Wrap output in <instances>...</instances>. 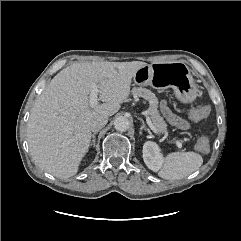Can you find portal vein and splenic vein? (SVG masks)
Instances as JSON below:
<instances>
[{
    "label": "portal vein and splenic vein",
    "mask_w": 241,
    "mask_h": 241,
    "mask_svg": "<svg viewBox=\"0 0 241 241\" xmlns=\"http://www.w3.org/2000/svg\"><path fill=\"white\" fill-rule=\"evenodd\" d=\"M99 89L98 86L96 84H92L91 85V89H90V95H89V104L91 107H94L97 105L98 103V93H99ZM146 122L149 125V127L151 128V130L158 134V131L156 130L155 126L153 125L151 119L149 118V116L146 117ZM177 145L178 148H182V144L179 141L173 142Z\"/></svg>",
    "instance_id": "portal-vein-and-splenic-vein-1"
}]
</instances>
